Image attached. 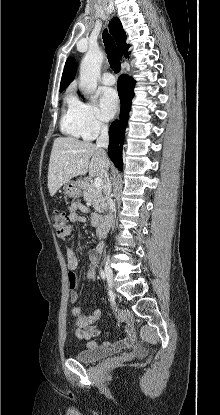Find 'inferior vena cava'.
I'll use <instances>...</instances> for the list:
<instances>
[{"mask_svg":"<svg viewBox=\"0 0 220 415\" xmlns=\"http://www.w3.org/2000/svg\"><path fill=\"white\" fill-rule=\"evenodd\" d=\"M108 142H109V137H108V126L105 124L101 125V131H100V136L97 138L96 140V145L98 148H107L108 147ZM105 177L107 178V182H108V188L109 190L111 189V184H110V180L108 178V173L107 170L105 171ZM108 211L109 214L105 219V223L107 224L108 227L113 226V213L115 211V204L114 201L111 199V197H109L108 199Z\"/></svg>","mask_w":220,"mask_h":415,"instance_id":"602c4592","label":"inferior vena cava"}]
</instances>
